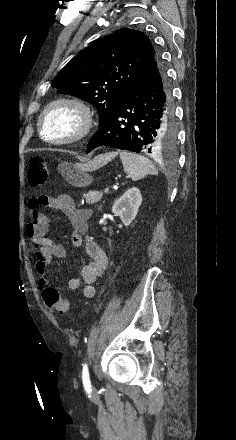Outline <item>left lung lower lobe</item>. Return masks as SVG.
<instances>
[{
	"instance_id": "obj_1",
	"label": "left lung lower lobe",
	"mask_w": 236,
	"mask_h": 440,
	"mask_svg": "<svg viewBox=\"0 0 236 440\" xmlns=\"http://www.w3.org/2000/svg\"><path fill=\"white\" fill-rule=\"evenodd\" d=\"M175 137L172 90L166 70L154 57L134 87L92 137L87 153L108 145L136 153L152 151Z\"/></svg>"
}]
</instances>
